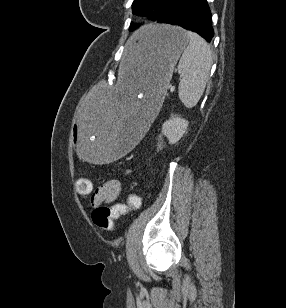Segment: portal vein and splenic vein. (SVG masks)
<instances>
[{"mask_svg": "<svg viewBox=\"0 0 286 308\" xmlns=\"http://www.w3.org/2000/svg\"><path fill=\"white\" fill-rule=\"evenodd\" d=\"M174 89H175V86H172V87H171V90H174Z\"/></svg>", "mask_w": 286, "mask_h": 308, "instance_id": "portal-vein-and-splenic-vein-1", "label": "portal vein and splenic vein"}]
</instances>
